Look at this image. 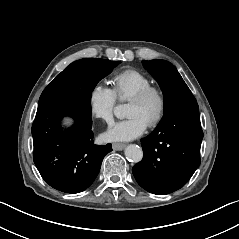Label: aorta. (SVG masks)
I'll use <instances>...</instances> for the list:
<instances>
[{
  "label": "aorta",
  "mask_w": 239,
  "mask_h": 239,
  "mask_svg": "<svg viewBox=\"0 0 239 239\" xmlns=\"http://www.w3.org/2000/svg\"><path fill=\"white\" fill-rule=\"evenodd\" d=\"M113 115L118 119H125L127 116V104H117L113 108ZM125 156L134 163H139L143 159V151L137 145H129L125 149Z\"/></svg>",
  "instance_id": "762f6f07"
}]
</instances>
